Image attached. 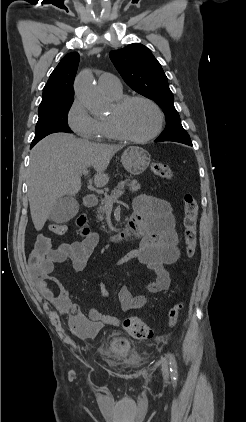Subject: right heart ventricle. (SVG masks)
Instances as JSON below:
<instances>
[{"label": "right heart ventricle", "instance_id": "right-heart-ventricle-1", "mask_svg": "<svg viewBox=\"0 0 246 422\" xmlns=\"http://www.w3.org/2000/svg\"><path fill=\"white\" fill-rule=\"evenodd\" d=\"M112 99L117 100L121 98V94L119 95H110ZM102 129H103V138L107 140H120L121 137L118 135L114 127L112 126L109 119H105L101 121Z\"/></svg>", "mask_w": 246, "mask_h": 422}]
</instances>
